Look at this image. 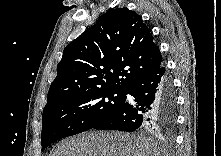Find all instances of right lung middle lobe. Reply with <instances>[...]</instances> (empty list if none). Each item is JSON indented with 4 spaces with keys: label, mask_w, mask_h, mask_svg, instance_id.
Here are the masks:
<instances>
[{
    "label": "right lung middle lobe",
    "mask_w": 221,
    "mask_h": 156,
    "mask_svg": "<svg viewBox=\"0 0 221 156\" xmlns=\"http://www.w3.org/2000/svg\"><path fill=\"white\" fill-rule=\"evenodd\" d=\"M125 90H96L73 94L43 111L42 151L51 143L92 129L118 110Z\"/></svg>",
    "instance_id": "right-lung-middle-lobe-1"
}]
</instances>
